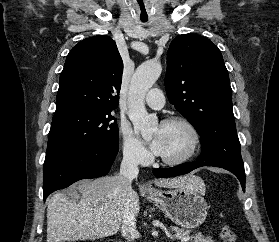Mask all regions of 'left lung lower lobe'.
Masks as SVG:
<instances>
[{
  "mask_svg": "<svg viewBox=\"0 0 279 242\" xmlns=\"http://www.w3.org/2000/svg\"><path fill=\"white\" fill-rule=\"evenodd\" d=\"M202 166H214V167H220L223 169H226L230 172H232L240 181L243 191H245V172L244 170H239L237 168H234L230 165L224 164V163H215V162H203V161H197V162H188L184 163L175 167L166 168V169H154L153 173L156 177L163 178V177H171V176H177V175H183L191 172L192 170L202 167Z\"/></svg>",
  "mask_w": 279,
  "mask_h": 242,
  "instance_id": "0a47b994",
  "label": "left lung lower lobe"
}]
</instances>
